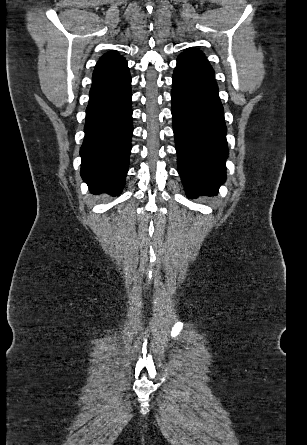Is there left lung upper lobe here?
Segmentation results:
<instances>
[{"label":"left lung upper lobe","mask_w":307,"mask_h":445,"mask_svg":"<svg viewBox=\"0 0 307 445\" xmlns=\"http://www.w3.org/2000/svg\"><path fill=\"white\" fill-rule=\"evenodd\" d=\"M180 56L186 57V58H190V59H194V60H198L200 61L202 64L206 65L208 68H210L211 70L212 67L210 66L209 62L206 60L204 54L196 49L193 48H189L187 50H185V52L181 53Z\"/></svg>","instance_id":"obj_1"}]
</instances>
